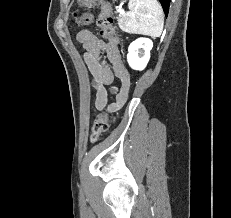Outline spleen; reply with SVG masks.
Here are the masks:
<instances>
[{
	"mask_svg": "<svg viewBox=\"0 0 231 218\" xmlns=\"http://www.w3.org/2000/svg\"><path fill=\"white\" fill-rule=\"evenodd\" d=\"M129 12L119 20L120 28L131 34L159 37L164 26V14L157 0H129Z\"/></svg>",
	"mask_w": 231,
	"mask_h": 218,
	"instance_id": "spleen-1",
	"label": "spleen"
}]
</instances>
